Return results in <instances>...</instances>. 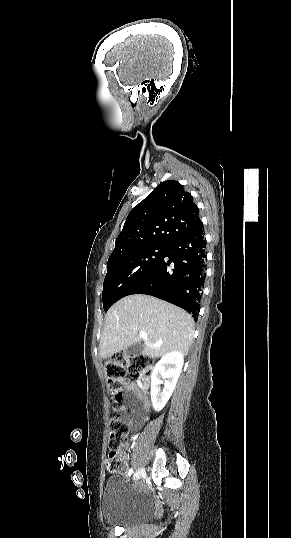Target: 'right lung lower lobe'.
Masks as SVG:
<instances>
[{
    "label": "right lung lower lobe",
    "mask_w": 291,
    "mask_h": 538,
    "mask_svg": "<svg viewBox=\"0 0 291 538\" xmlns=\"http://www.w3.org/2000/svg\"><path fill=\"white\" fill-rule=\"evenodd\" d=\"M202 223L168 245L163 258L130 293L147 294L173 303L197 319L206 267Z\"/></svg>",
    "instance_id": "98d812e1"
}]
</instances>
